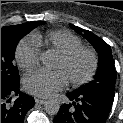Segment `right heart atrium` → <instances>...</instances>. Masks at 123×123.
<instances>
[{
  "instance_id": "obj_1",
  "label": "right heart atrium",
  "mask_w": 123,
  "mask_h": 123,
  "mask_svg": "<svg viewBox=\"0 0 123 123\" xmlns=\"http://www.w3.org/2000/svg\"><path fill=\"white\" fill-rule=\"evenodd\" d=\"M15 59L23 71L32 70L39 61V48L28 37L21 40L15 51Z\"/></svg>"
}]
</instances>
